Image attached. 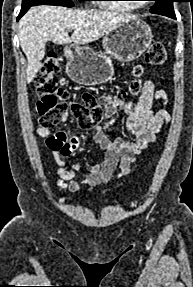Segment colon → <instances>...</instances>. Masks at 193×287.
<instances>
[{
	"mask_svg": "<svg viewBox=\"0 0 193 287\" xmlns=\"http://www.w3.org/2000/svg\"><path fill=\"white\" fill-rule=\"evenodd\" d=\"M166 60V49L160 42L150 45L145 55V64L149 66H160ZM59 59L56 53L50 52L45 59L42 69L36 78V88L39 96L37 103L41 128L53 129L59 117L67 110H70L83 129H90L103 118L102 108L111 97H101L92 93H84L81 102L69 100L67 90L59 85L57 75L59 73ZM144 73V66L138 65L134 69L136 77L129 85V92L137 95L141 89L138 79ZM126 93L118 96L124 98ZM58 132V131H57ZM76 139V138H74Z\"/></svg>",
	"mask_w": 193,
	"mask_h": 287,
	"instance_id": "1",
	"label": "colon"
}]
</instances>
